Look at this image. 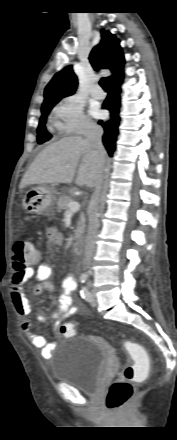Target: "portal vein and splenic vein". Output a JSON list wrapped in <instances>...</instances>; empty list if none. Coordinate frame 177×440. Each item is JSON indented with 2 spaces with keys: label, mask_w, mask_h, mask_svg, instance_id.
Instances as JSON below:
<instances>
[{
  "label": "portal vein and splenic vein",
  "mask_w": 177,
  "mask_h": 440,
  "mask_svg": "<svg viewBox=\"0 0 177 440\" xmlns=\"http://www.w3.org/2000/svg\"><path fill=\"white\" fill-rule=\"evenodd\" d=\"M81 205L78 202H71L67 205L66 213H75L80 210Z\"/></svg>",
  "instance_id": "1"
}]
</instances>
